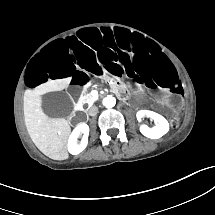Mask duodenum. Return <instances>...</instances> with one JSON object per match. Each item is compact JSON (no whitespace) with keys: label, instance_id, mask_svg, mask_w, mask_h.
Masks as SVG:
<instances>
[{"label":"duodenum","instance_id":"1","mask_svg":"<svg viewBox=\"0 0 215 215\" xmlns=\"http://www.w3.org/2000/svg\"><path fill=\"white\" fill-rule=\"evenodd\" d=\"M113 90L115 91L116 96L120 99L125 100L128 98V93L126 91L116 87H114Z\"/></svg>","mask_w":215,"mask_h":215}]
</instances>
